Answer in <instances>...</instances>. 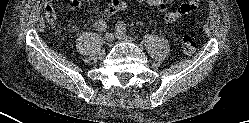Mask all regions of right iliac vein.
Segmentation results:
<instances>
[{"instance_id": "1", "label": "right iliac vein", "mask_w": 249, "mask_h": 123, "mask_svg": "<svg viewBox=\"0 0 249 123\" xmlns=\"http://www.w3.org/2000/svg\"><path fill=\"white\" fill-rule=\"evenodd\" d=\"M104 40H105V43H106L107 45H109V44L114 40L113 34H111V33H106Z\"/></svg>"}]
</instances>
